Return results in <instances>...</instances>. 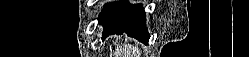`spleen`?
Instances as JSON below:
<instances>
[{
    "mask_svg": "<svg viewBox=\"0 0 249 57\" xmlns=\"http://www.w3.org/2000/svg\"><path fill=\"white\" fill-rule=\"evenodd\" d=\"M127 53H128L127 49L124 48V49H123V52H122V55H123V56H120V57H129ZM119 55H121V54H119ZM117 57H119V56L117 55Z\"/></svg>",
    "mask_w": 249,
    "mask_h": 57,
    "instance_id": "1",
    "label": "spleen"
}]
</instances>
